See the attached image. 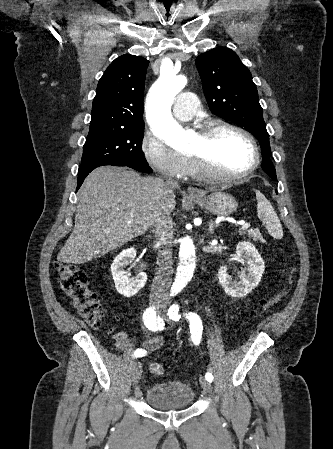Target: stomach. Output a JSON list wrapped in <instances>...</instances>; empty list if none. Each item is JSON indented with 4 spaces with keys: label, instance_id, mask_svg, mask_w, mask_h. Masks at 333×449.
<instances>
[{
    "label": "stomach",
    "instance_id": "obj_1",
    "mask_svg": "<svg viewBox=\"0 0 333 449\" xmlns=\"http://www.w3.org/2000/svg\"><path fill=\"white\" fill-rule=\"evenodd\" d=\"M196 204L207 209L212 214L228 216L236 209L235 198L225 192H213L207 197L191 198Z\"/></svg>",
    "mask_w": 333,
    "mask_h": 449
}]
</instances>
